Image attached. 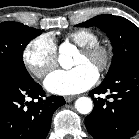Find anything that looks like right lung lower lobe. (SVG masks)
<instances>
[{
    "label": "right lung lower lobe",
    "mask_w": 139,
    "mask_h": 139,
    "mask_svg": "<svg viewBox=\"0 0 139 139\" xmlns=\"http://www.w3.org/2000/svg\"><path fill=\"white\" fill-rule=\"evenodd\" d=\"M63 104L62 96L45 97L29 74L0 65V139H45Z\"/></svg>",
    "instance_id": "1"
}]
</instances>
